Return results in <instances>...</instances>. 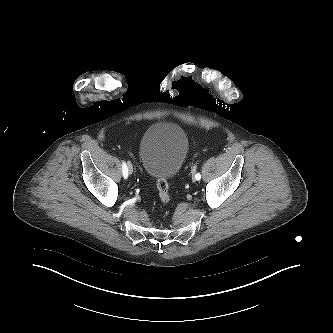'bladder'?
<instances>
[{
    "label": "bladder",
    "mask_w": 333,
    "mask_h": 333,
    "mask_svg": "<svg viewBox=\"0 0 333 333\" xmlns=\"http://www.w3.org/2000/svg\"><path fill=\"white\" fill-rule=\"evenodd\" d=\"M188 149V137L179 125L154 123L144 131L139 142L142 169L151 178L171 179L181 170Z\"/></svg>",
    "instance_id": "31cf9c89"
}]
</instances>
